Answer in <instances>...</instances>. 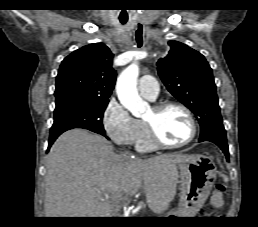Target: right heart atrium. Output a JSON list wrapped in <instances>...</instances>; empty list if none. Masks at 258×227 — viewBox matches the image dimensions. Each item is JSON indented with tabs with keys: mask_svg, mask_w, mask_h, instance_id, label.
Masks as SVG:
<instances>
[{
	"mask_svg": "<svg viewBox=\"0 0 258 227\" xmlns=\"http://www.w3.org/2000/svg\"><path fill=\"white\" fill-rule=\"evenodd\" d=\"M103 128L117 145H133L138 140L142 124L117 101L107 105L102 120Z\"/></svg>",
	"mask_w": 258,
	"mask_h": 227,
	"instance_id": "1",
	"label": "right heart atrium"
}]
</instances>
